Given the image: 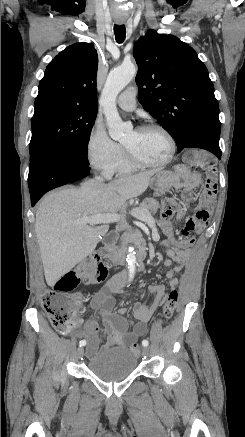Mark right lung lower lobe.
I'll list each match as a JSON object with an SVG mask.
<instances>
[{"instance_id":"98d812e1","label":"right lung lower lobe","mask_w":245,"mask_h":437,"mask_svg":"<svg viewBox=\"0 0 245 437\" xmlns=\"http://www.w3.org/2000/svg\"><path fill=\"white\" fill-rule=\"evenodd\" d=\"M87 157L71 156L54 149L39 151L30 159L28 185L31 205L49 190L75 182L89 174Z\"/></svg>"}]
</instances>
